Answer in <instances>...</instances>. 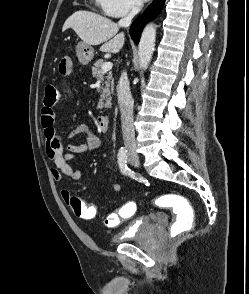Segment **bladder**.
<instances>
[{
    "label": "bladder",
    "instance_id": "obj_1",
    "mask_svg": "<svg viewBox=\"0 0 249 294\" xmlns=\"http://www.w3.org/2000/svg\"><path fill=\"white\" fill-rule=\"evenodd\" d=\"M164 221L165 218L140 216L125 230L115 235L113 240L117 243H123L131 239L146 238L154 231L157 223Z\"/></svg>",
    "mask_w": 249,
    "mask_h": 294
}]
</instances>
